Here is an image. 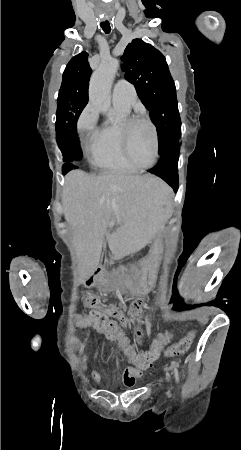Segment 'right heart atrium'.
<instances>
[{
	"mask_svg": "<svg viewBox=\"0 0 241 450\" xmlns=\"http://www.w3.org/2000/svg\"><path fill=\"white\" fill-rule=\"evenodd\" d=\"M80 123L83 125L84 130H97V127L100 124V117L99 116H82L80 118ZM81 136H82V133H81ZM87 152L91 153L92 149L88 148Z\"/></svg>",
	"mask_w": 241,
	"mask_h": 450,
	"instance_id": "obj_1",
	"label": "right heart atrium"
}]
</instances>
